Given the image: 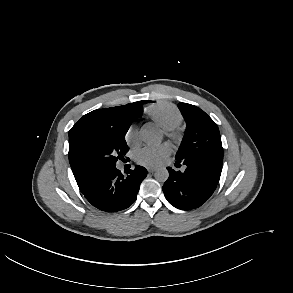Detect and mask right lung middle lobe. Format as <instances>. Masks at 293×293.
Listing matches in <instances>:
<instances>
[{"instance_id":"1","label":"right lung middle lobe","mask_w":293,"mask_h":293,"mask_svg":"<svg viewBox=\"0 0 293 293\" xmlns=\"http://www.w3.org/2000/svg\"><path fill=\"white\" fill-rule=\"evenodd\" d=\"M138 110L125 111L113 121L91 122L81 126L74 141L76 159L91 169L106 170L115 166L117 160L129 150L125 135Z\"/></svg>"}]
</instances>
